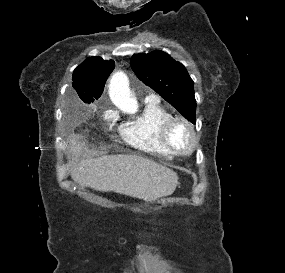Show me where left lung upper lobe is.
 Wrapping results in <instances>:
<instances>
[{"label":"left lung upper lobe","mask_w":285,"mask_h":273,"mask_svg":"<svg viewBox=\"0 0 285 273\" xmlns=\"http://www.w3.org/2000/svg\"><path fill=\"white\" fill-rule=\"evenodd\" d=\"M133 71L146 85L175 107L186 119L196 122L194 83L183 65L162 51L131 58Z\"/></svg>","instance_id":"obj_1"}]
</instances>
